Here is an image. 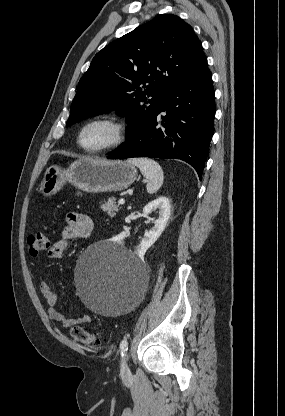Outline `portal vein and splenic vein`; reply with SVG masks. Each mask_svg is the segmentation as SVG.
I'll return each instance as SVG.
<instances>
[{
  "instance_id": "1",
  "label": "portal vein and splenic vein",
  "mask_w": 285,
  "mask_h": 416,
  "mask_svg": "<svg viewBox=\"0 0 285 416\" xmlns=\"http://www.w3.org/2000/svg\"><path fill=\"white\" fill-rule=\"evenodd\" d=\"M118 204H125V200H118Z\"/></svg>"
}]
</instances>
